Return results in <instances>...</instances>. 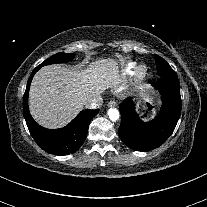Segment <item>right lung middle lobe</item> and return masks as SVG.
<instances>
[{"label": "right lung middle lobe", "instance_id": "dd1d6c3e", "mask_svg": "<svg viewBox=\"0 0 207 207\" xmlns=\"http://www.w3.org/2000/svg\"><path fill=\"white\" fill-rule=\"evenodd\" d=\"M75 54L70 53H58L55 54L48 59H46L44 62H42L38 67H42L44 65L53 64V63H64L68 62L74 59Z\"/></svg>", "mask_w": 207, "mask_h": 207}]
</instances>
